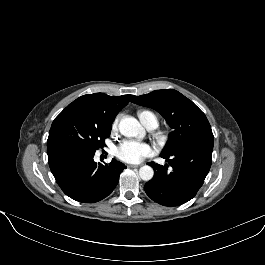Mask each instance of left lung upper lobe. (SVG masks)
Listing matches in <instances>:
<instances>
[{"label": "left lung upper lobe", "instance_id": "5c2ea615", "mask_svg": "<svg viewBox=\"0 0 265 265\" xmlns=\"http://www.w3.org/2000/svg\"><path fill=\"white\" fill-rule=\"evenodd\" d=\"M132 102L158 111L173 129L163 153H171L193 137L212 133L205 114L180 92L167 89L133 96Z\"/></svg>", "mask_w": 265, "mask_h": 265}]
</instances>
